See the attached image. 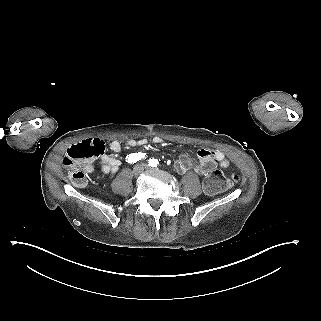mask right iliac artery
I'll return each mask as SVG.
<instances>
[{
    "label": "right iliac artery",
    "mask_w": 321,
    "mask_h": 321,
    "mask_svg": "<svg viewBox=\"0 0 321 321\" xmlns=\"http://www.w3.org/2000/svg\"><path fill=\"white\" fill-rule=\"evenodd\" d=\"M146 154H143V153H133V154H129L127 157H126V161L128 163H136L137 161H140L142 158L145 157Z\"/></svg>",
    "instance_id": "1"
}]
</instances>
